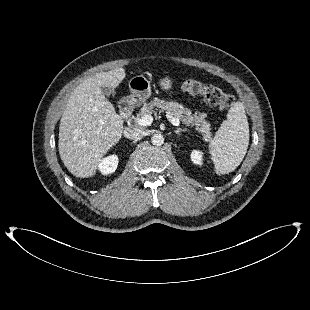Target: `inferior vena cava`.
I'll return each mask as SVG.
<instances>
[{"label": "inferior vena cava", "mask_w": 310, "mask_h": 310, "mask_svg": "<svg viewBox=\"0 0 310 310\" xmlns=\"http://www.w3.org/2000/svg\"><path fill=\"white\" fill-rule=\"evenodd\" d=\"M143 132L141 130L126 128L124 130V136L129 139H139L142 136Z\"/></svg>", "instance_id": "obj_1"}]
</instances>
